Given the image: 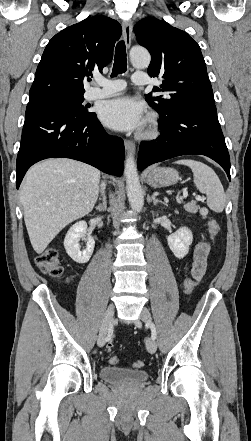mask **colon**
I'll return each instance as SVG.
<instances>
[{
	"instance_id": "1",
	"label": "colon",
	"mask_w": 251,
	"mask_h": 441,
	"mask_svg": "<svg viewBox=\"0 0 251 441\" xmlns=\"http://www.w3.org/2000/svg\"><path fill=\"white\" fill-rule=\"evenodd\" d=\"M208 230L212 238H215L219 234L220 226L215 219L210 218L208 220ZM36 265L44 274L53 278H61L63 276L64 269L60 263L58 251L53 247L44 250L39 256H37ZM184 285L186 293L190 294L193 291L195 282L193 279L189 278L185 281ZM113 348L114 344L111 341L107 344V350L111 351ZM117 362L118 358L116 356H111L109 358L110 364L114 365ZM143 365L144 363L141 360L133 362L134 368H141Z\"/></svg>"
}]
</instances>
